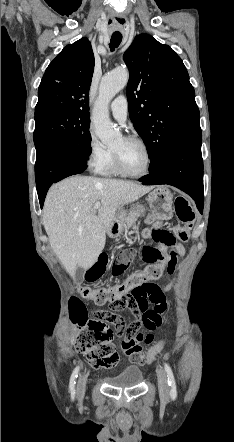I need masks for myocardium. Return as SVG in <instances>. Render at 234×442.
Here are the masks:
<instances>
[{
	"instance_id": "myocardium-1",
	"label": "myocardium",
	"mask_w": 234,
	"mask_h": 442,
	"mask_svg": "<svg viewBox=\"0 0 234 442\" xmlns=\"http://www.w3.org/2000/svg\"><path fill=\"white\" fill-rule=\"evenodd\" d=\"M123 139L127 142L137 143L144 149L145 154H146V166H145L144 170L139 173L129 172L124 168L118 152L112 151L114 166H115L116 171L119 174H121L125 177H129V178H142V177L148 175L150 172V169H151V165H152V153H151L149 145L143 139L136 137V136H126Z\"/></svg>"
}]
</instances>
